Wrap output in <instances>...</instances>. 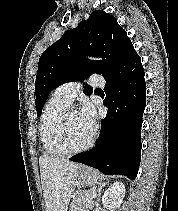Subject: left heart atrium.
<instances>
[{
    "label": "left heart atrium",
    "instance_id": "left-heart-atrium-1",
    "mask_svg": "<svg viewBox=\"0 0 178 211\" xmlns=\"http://www.w3.org/2000/svg\"><path fill=\"white\" fill-rule=\"evenodd\" d=\"M81 120L91 129L95 128L96 119L93 107L89 103H85L79 113Z\"/></svg>",
    "mask_w": 178,
    "mask_h": 211
}]
</instances>
